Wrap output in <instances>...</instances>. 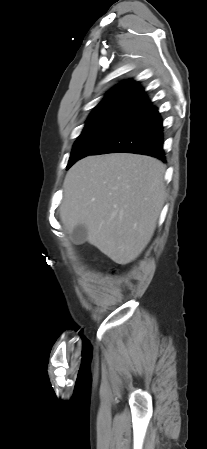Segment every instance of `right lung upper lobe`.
<instances>
[{
    "label": "right lung upper lobe",
    "mask_w": 207,
    "mask_h": 449,
    "mask_svg": "<svg viewBox=\"0 0 207 449\" xmlns=\"http://www.w3.org/2000/svg\"><path fill=\"white\" fill-rule=\"evenodd\" d=\"M151 104L137 82L126 80L112 88L91 115L112 111L137 114Z\"/></svg>",
    "instance_id": "obj_1"
}]
</instances>
